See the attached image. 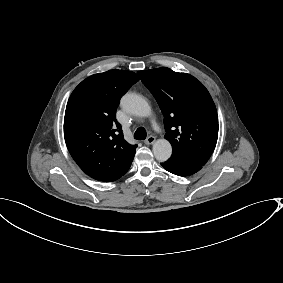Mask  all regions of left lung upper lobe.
I'll return each mask as SVG.
<instances>
[{
	"mask_svg": "<svg viewBox=\"0 0 283 283\" xmlns=\"http://www.w3.org/2000/svg\"><path fill=\"white\" fill-rule=\"evenodd\" d=\"M138 74L164 114L172 157L204 165L218 138L217 110L208 90L192 75L166 67Z\"/></svg>",
	"mask_w": 283,
	"mask_h": 283,
	"instance_id": "1",
	"label": "left lung upper lobe"
}]
</instances>
